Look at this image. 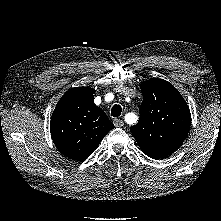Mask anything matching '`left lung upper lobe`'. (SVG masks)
<instances>
[{
    "instance_id": "1",
    "label": "left lung upper lobe",
    "mask_w": 221,
    "mask_h": 221,
    "mask_svg": "<svg viewBox=\"0 0 221 221\" xmlns=\"http://www.w3.org/2000/svg\"><path fill=\"white\" fill-rule=\"evenodd\" d=\"M143 101L139 122L131 133L143 153L154 159L165 158L180 148L188 135L191 114L177 89L162 79L140 85Z\"/></svg>"
}]
</instances>
